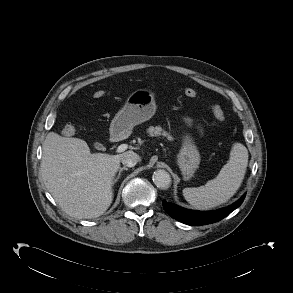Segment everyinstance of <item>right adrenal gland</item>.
<instances>
[{"label":"right adrenal gland","instance_id":"1","mask_svg":"<svg viewBox=\"0 0 293 293\" xmlns=\"http://www.w3.org/2000/svg\"><path fill=\"white\" fill-rule=\"evenodd\" d=\"M123 170H128V168H126V167L120 168L119 173H118L117 177L114 179V182L113 183H116L117 182V180L120 178L121 173H122Z\"/></svg>","mask_w":293,"mask_h":293}]
</instances>
